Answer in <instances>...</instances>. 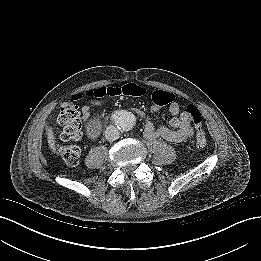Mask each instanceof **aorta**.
I'll use <instances>...</instances> for the list:
<instances>
[{
	"mask_svg": "<svg viewBox=\"0 0 261 261\" xmlns=\"http://www.w3.org/2000/svg\"><path fill=\"white\" fill-rule=\"evenodd\" d=\"M116 124L119 127V129L123 131H129L135 125V116L132 112L121 111L116 120Z\"/></svg>",
	"mask_w": 261,
	"mask_h": 261,
	"instance_id": "aorta-1",
	"label": "aorta"
}]
</instances>
